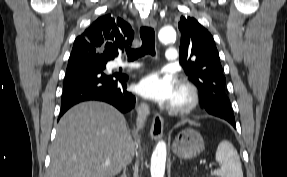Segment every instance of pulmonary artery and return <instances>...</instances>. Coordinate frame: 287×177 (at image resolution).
Segmentation results:
<instances>
[{"instance_id":"obj_1","label":"pulmonary artery","mask_w":287,"mask_h":177,"mask_svg":"<svg viewBox=\"0 0 287 177\" xmlns=\"http://www.w3.org/2000/svg\"><path fill=\"white\" fill-rule=\"evenodd\" d=\"M164 62L166 64V66H171V65L176 64V48L170 47L166 50ZM117 66H119V67H125V66L126 67H134L135 65H130V64L128 65V64L119 62L117 64Z\"/></svg>"}]
</instances>
